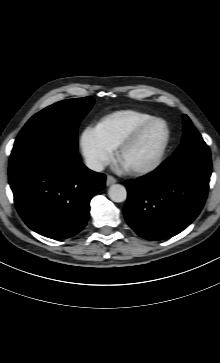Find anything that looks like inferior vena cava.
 <instances>
[{
    "instance_id": "inferior-vena-cava-1",
    "label": "inferior vena cava",
    "mask_w": 220,
    "mask_h": 363,
    "mask_svg": "<svg viewBox=\"0 0 220 363\" xmlns=\"http://www.w3.org/2000/svg\"><path fill=\"white\" fill-rule=\"evenodd\" d=\"M86 166L96 172H101L104 169V165L101 161L94 159V158H89L86 160Z\"/></svg>"
}]
</instances>
